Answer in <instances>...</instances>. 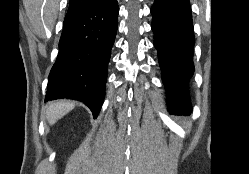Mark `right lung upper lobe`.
Returning <instances> with one entry per match:
<instances>
[{
    "label": "right lung upper lobe",
    "instance_id": "right-lung-upper-lobe-1",
    "mask_svg": "<svg viewBox=\"0 0 249 174\" xmlns=\"http://www.w3.org/2000/svg\"><path fill=\"white\" fill-rule=\"evenodd\" d=\"M100 1H103V0H70L68 12L77 11L83 7L89 6L91 4H94Z\"/></svg>",
    "mask_w": 249,
    "mask_h": 174
}]
</instances>
